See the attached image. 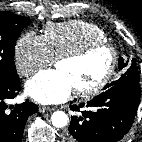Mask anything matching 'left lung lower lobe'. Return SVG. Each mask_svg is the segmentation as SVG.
<instances>
[{
  "label": "left lung lower lobe",
  "instance_id": "1",
  "mask_svg": "<svg viewBox=\"0 0 142 142\" xmlns=\"http://www.w3.org/2000/svg\"><path fill=\"white\" fill-rule=\"evenodd\" d=\"M138 81L114 85L87 102L82 117L72 116L65 142H117L130 130L140 102ZM81 104L71 105L79 111Z\"/></svg>",
  "mask_w": 142,
  "mask_h": 142
}]
</instances>
